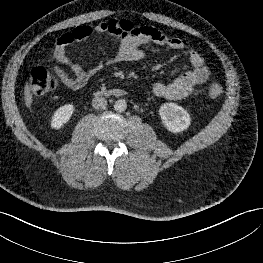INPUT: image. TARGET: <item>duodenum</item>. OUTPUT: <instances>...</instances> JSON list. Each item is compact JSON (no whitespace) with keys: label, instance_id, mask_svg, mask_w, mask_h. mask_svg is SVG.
<instances>
[{"label":"duodenum","instance_id":"410a0bca","mask_svg":"<svg viewBox=\"0 0 263 263\" xmlns=\"http://www.w3.org/2000/svg\"><path fill=\"white\" fill-rule=\"evenodd\" d=\"M96 96H115L122 97L126 95V92L122 89H102L96 91Z\"/></svg>","mask_w":263,"mask_h":263}]
</instances>
